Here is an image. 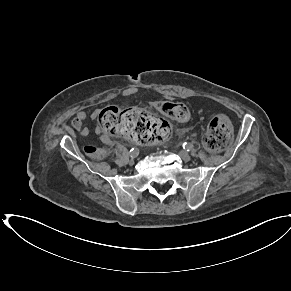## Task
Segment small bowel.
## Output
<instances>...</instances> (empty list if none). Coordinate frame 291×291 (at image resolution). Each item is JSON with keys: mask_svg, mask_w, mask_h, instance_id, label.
Here are the masks:
<instances>
[{"mask_svg": "<svg viewBox=\"0 0 291 291\" xmlns=\"http://www.w3.org/2000/svg\"><path fill=\"white\" fill-rule=\"evenodd\" d=\"M88 118V114L85 111L79 110L76 112L73 120L72 127L80 133L81 136L87 137L90 134L89 128L84 126L85 120ZM96 132L100 134V141L105 145H110L112 139L107 134H101L100 130L97 128Z\"/></svg>", "mask_w": 291, "mask_h": 291, "instance_id": "1", "label": "small bowel"}]
</instances>
